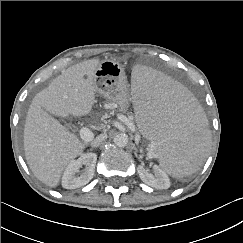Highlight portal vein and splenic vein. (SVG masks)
I'll return each mask as SVG.
<instances>
[{
	"instance_id": "1",
	"label": "portal vein and splenic vein",
	"mask_w": 243,
	"mask_h": 243,
	"mask_svg": "<svg viewBox=\"0 0 243 243\" xmlns=\"http://www.w3.org/2000/svg\"><path fill=\"white\" fill-rule=\"evenodd\" d=\"M121 120L131 129V130H135V125L133 124V122L131 121V119L130 118H127V117H125V116H122L121 117ZM79 133H80V136H81V138L83 139V140H85V141H89V140H91L92 139V137H93V133H92V131H90L88 128H86V127H83V128H81L80 129V131H79ZM155 155V153H154V149H153V146L150 148V150L148 151V156L149 157H152V156H154Z\"/></svg>"
}]
</instances>
